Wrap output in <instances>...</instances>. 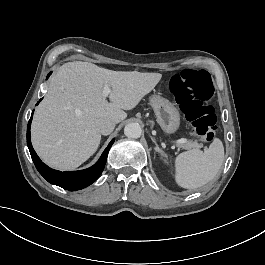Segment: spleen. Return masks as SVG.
<instances>
[{
    "instance_id": "3e777b00",
    "label": "spleen",
    "mask_w": 265,
    "mask_h": 265,
    "mask_svg": "<svg viewBox=\"0 0 265 265\" xmlns=\"http://www.w3.org/2000/svg\"><path fill=\"white\" fill-rule=\"evenodd\" d=\"M224 161V147L215 138L204 151L192 149L179 154L175 161L176 182L187 189L201 187L211 181Z\"/></svg>"
}]
</instances>
